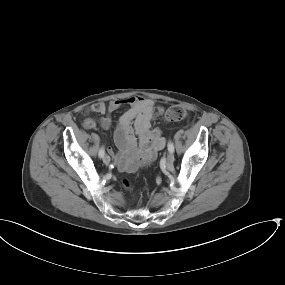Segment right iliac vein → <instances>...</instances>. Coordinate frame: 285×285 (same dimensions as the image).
Instances as JSON below:
<instances>
[{"mask_svg": "<svg viewBox=\"0 0 285 285\" xmlns=\"http://www.w3.org/2000/svg\"><path fill=\"white\" fill-rule=\"evenodd\" d=\"M110 161H111V158H110L109 155H104V156H103V162H104L106 165H108V164L110 163Z\"/></svg>", "mask_w": 285, "mask_h": 285, "instance_id": "obj_1", "label": "right iliac vein"}]
</instances>
